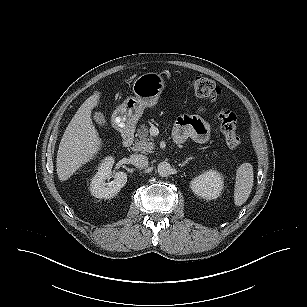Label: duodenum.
<instances>
[{
	"label": "duodenum",
	"instance_id": "duodenum-1",
	"mask_svg": "<svg viewBox=\"0 0 307 307\" xmlns=\"http://www.w3.org/2000/svg\"><path fill=\"white\" fill-rule=\"evenodd\" d=\"M134 142V131L127 129L122 135V144L124 147H130Z\"/></svg>",
	"mask_w": 307,
	"mask_h": 307
}]
</instances>
